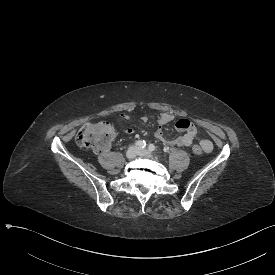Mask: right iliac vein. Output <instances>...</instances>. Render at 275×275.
I'll list each match as a JSON object with an SVG mask.
<instances>
[{
	"instance_id": "1",
	"label": "right iliac vein",
	"mask_w": 275,
	"mask_h": 275,
	"mask_svg": "<svg viewBox=\"0 0 275 275\" xmlns=\"http://www.w3.org/2000/svg\"><path fill=\"white\" fill-rule=\"evenodd\" d=\"M139 154V151L136 147H130L126 152V157L128 159H134Z\"/></svg>"
}]
</instances>
